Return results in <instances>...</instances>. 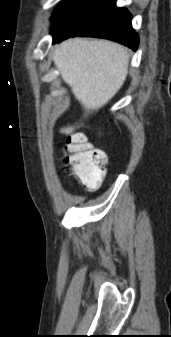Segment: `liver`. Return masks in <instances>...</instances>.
I'll return each instance as SVG.
<instances>
[{"label": "liver", "instance_id": "liver-1", "mask_svg": "<svg viewBox=\"0 0 171 337\" xmlns=\"http://www.w3.org/2000/svg\"><path fill=\"white\" fill-rule=\"evenodd\" d=\"M53 61L76 99L90 113L107 104L122 87L129 56L110 41L75 38L56 46ZM73 131L74 127H67L60 132L68 135Z\"/></svg>", "mask_w": 171, "mask_h": 337}]
</instances>
